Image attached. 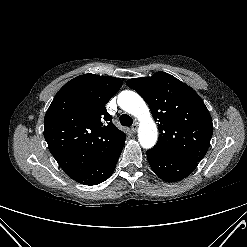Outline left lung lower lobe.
<instances>
[{
    "instance_id": "left-lung-lower-lobe-1",
    "label": "left lung lower lobe",
    "mask_w": 247,
    "mask_h": 247,
    "mask_svg": "<svg viewBox=\"0 0 247 247\" xmlns=\"http://www.w3.org/2000/svg\"><path fill=\"white\" fill-rule=\"evenodd\" d=\"M147 159L156 175L167 182L186 178L198 165L197 161L171 155L156 147L147 151Z\"/></svg>"
}]
</instances>
